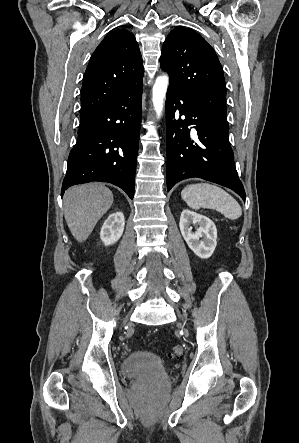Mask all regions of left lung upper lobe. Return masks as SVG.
Segmentation results:
<instances>
[{
	"label": "left lung upper lobe",
	"mask_w": 299,
	"mask_h": 443,
	"mask_svg": "<svg viewBox=\"0 0 299 443\" xmlns=\"http://www.w3.org/2000/svg\"><path fill=\"white\" fill-rule=\"evenodd\" d=\"M170 85L227 117L226 86L213 48L196 31L179 26L167 36L160 58Z\"/></svg>",
	"instance_id": "left-lung-upper-lobe-1"
}]
</instances>
